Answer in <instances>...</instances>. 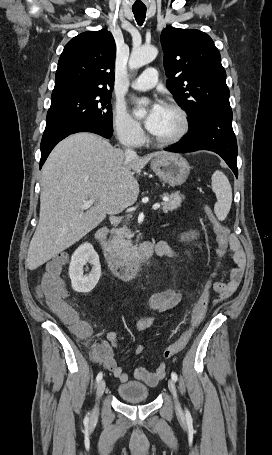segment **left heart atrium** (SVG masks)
<instances>
[{
  "label": "left heart atrium",
  "instance_id": "39dd6f15",
  "mask_svg": "<svg viewBox=\"0 0 272 455\" xmlns=\"http://www.w3.org/2000/svg\"><path fill=\"white\" fill-rule=\"evenodd\" d=\"M163 109H164V106L160 102L155 101V102L151 103L149 110H148V114L144 120L145 127L151 133H153L156 130L158 123L160 121Z\"/></svg>",
  "mask_w": 272,
  "mask_h": 455
}]
</instances>
